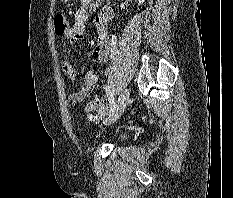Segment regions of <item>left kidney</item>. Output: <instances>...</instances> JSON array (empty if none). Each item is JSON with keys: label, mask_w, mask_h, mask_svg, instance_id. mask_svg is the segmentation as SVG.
Returning a JSON list of instances; mask_svg holds the SVG:
<instances>
[{"label": "left kidney", "mask_w": 233, "mask_h": 198, "mask_svg": "<svg viewBox=\"0 0 233 198\" xmlns=\"http://www.w3.org/2000/svg\"><path fill=\"white\" fill-rule=\"evenodd\" d=\"M145 0H138V6L143 4Z\"/></svg>", "instance_id": "5707ae66"}]
</instances>
